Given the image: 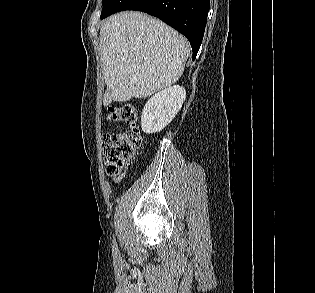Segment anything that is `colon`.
<instances>
[{
  "label": "colon",
  "instance_id": "1",
  "mask_svg": "<svg viewBox=\"0 0 315 293\" xmlns=\"http://www.w3.org/2000/svg\"><path fill=\"white\" fill-rule=\"evenodd\" d=\"M107 118L130 126V129L124 132L105 135L102 139L106 172L109 176L117 178L122 174L126 163L134 158L142 146L143 137L137 127L138 116L133 106L109 107Z\"/></svg>",
  "mask_w": 315,
  "mask_h": 293
}]
</instances>
